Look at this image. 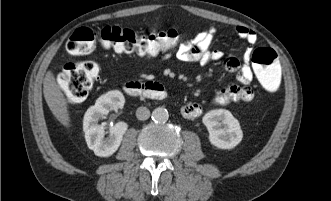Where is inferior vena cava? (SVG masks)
Here are the masks:
<instances>
[{
	"label": "inferior vena cava",
	"instance_id": "1",
	"mask_svg": "<svg viewBox=\"0 0 331 201\" xmlns=\"http://www.w3.org/2000/svg\"><path fill=\"white\" fill-rule=\"evenodd\" d=\"M136 117L138 120H147L150 117V111L146 107H139L136 110Z\"/></svg>",
	"mask_w": 331,
	"mask_h": 201
}]
</instances>
